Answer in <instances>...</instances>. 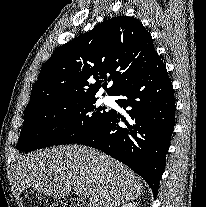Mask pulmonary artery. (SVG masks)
<instances>
[{
    "mask_svg": "<svg viewBox=\"0 0 206 207\" xmlns=\"http://www.w3.org/2000/svg\"><path fill=\"white\" fill-rule=\"evenodd\" d=\"M103 100H104V101H107V97H104Z\"/></svg>",
    "mask_w": 206,
    "mask_h": 207,
    "instance_id": "e3ab8cb5",
    "label": "pulmonary artery"
}]
</instances>
